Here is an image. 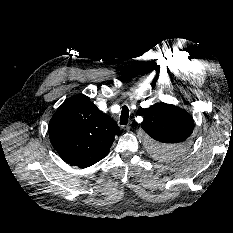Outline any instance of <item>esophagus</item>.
Segmentation results:
<instances>
[{
    "instance_id": "esophagus-1",
    "label": "esophagus",
    "mask_w": 233,
    "mask_h": 233,
    "mask_svg": "<svg viewBox=\"0 0 233 233\" xmlns=\"http://www.w3.org/2000/svg\"><path fill=\"white\" fill-rule=\"evenodd\" d=\"M131 127H132V123L130 122V123H128L127 125L123 126V129H124L125 131H129V130L131 129Z\"/></svg>"
}]
</instances>
